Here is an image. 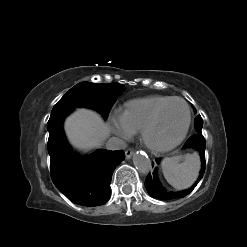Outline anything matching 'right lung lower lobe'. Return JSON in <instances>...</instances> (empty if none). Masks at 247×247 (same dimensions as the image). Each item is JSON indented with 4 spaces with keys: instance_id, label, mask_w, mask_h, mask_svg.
Wrapping results in <instances>:
<instances>
[{
    "instance_id": "98d812e1",
    "label": "right lung lower lobe",
    "mask_w": 247,
    "mask_h": 247,
    "mask_svg": "<svg viewBox=\"0 0 247 247\" xmlns=\"http://www.w3.org/2000/svg\"><path fill=\"white\" fill-rule=\"evenodd\" d=\"M70 112L53 113L47 123L52 181L75 204L103 205L111 195L113 171L124 160L125 154L121 150H97L87 157L74 153L62 128L63 120Z\"/></svg>"
}]
</instances>
